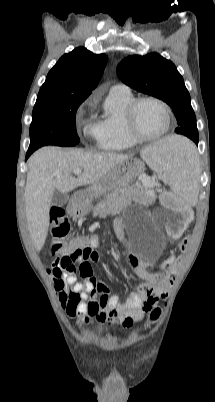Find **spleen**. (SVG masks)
<instances>
[{
    "mask_svg": "<svg viewBox=\"0 0 215 402\" xmlns=\"http://www.w3.org/2000/svg\"><path fill=\"white\" fill-rule=\"evenodd\" d=\"M149 167L180 196L182 204H194L198 186V166L192 143L181 136L166 137L141 152Z\"/></svg>",
    "mask_w": 215,
    "mask_h": 402,
    "instance_id": "1",
    "label": "spleen"
}]
</instances>
